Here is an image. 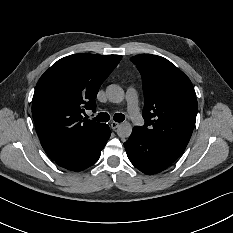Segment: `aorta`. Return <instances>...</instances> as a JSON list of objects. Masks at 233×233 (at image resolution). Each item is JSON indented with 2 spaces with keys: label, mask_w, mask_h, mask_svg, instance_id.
Here are the masks:
<instances>
[{
  "label": "aorta",
  "mask_w": 233,
  "mask_h": 233,
  "mask_svg": "<svg viewBox=\"0 0 233 233\" xmlns=\"http://www.w3.org/2000/svg\"><path fill=\"white\" fill-rule=\"evenodd\" d=\"M106 96L112 103H120L124 99V90L115 84H111L106 88ZM132 133V126L129 122L124 121L119 124L117 134L119 137L127 138Z\"/></svg>",
  "instance_id": "obj_1"
}]
</instances>
